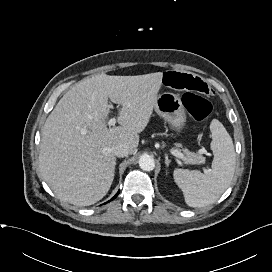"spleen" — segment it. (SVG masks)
<instances>
[{"label": "spleen", "instance_id": "obj_1", "mask_svg": "<svg viewBox=\"0 0 272 272\" xmlns=\"http://www.w3.org/2000/svg\"><path fill=\"white\" fill-rule=\"evenodd\" d=\"M214 159L210 172L175 169L173 177L190 207H205L216 202L229 187L235 172L236 154L232 138L217 119L210 124Z\"/></svg>", "mask_w": 272, "mask_h": 272}]
</instances>
